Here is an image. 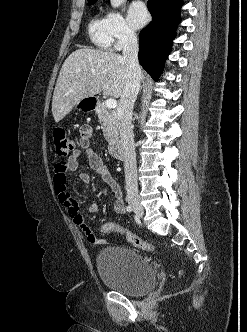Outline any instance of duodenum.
Segmentation results:
<instances>
[{"mask_svg":"<svg viewBox=\"0 0 247 332\" xmlns=\"http://www.w3.org/2000/svg\"><path fill=\"white\" fill-rule=\"evenodd\" d=\"M92 105H96V101H92ZM109 152L116 159L124 158V147L120 140H114L109 145Z\"/></svg>","mask_w":247,"mask_h":332,"instance_id":"duodenum-1","label":"duodenum"}]
</instances>
